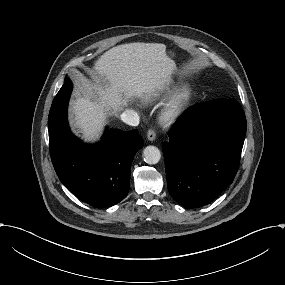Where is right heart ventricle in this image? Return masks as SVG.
Returning <instances> with one entry per match:
<instances>
[{
	"instance_id": "obj_1",
	"label": "right heart ventricle",
	"mask_w": 285,
	"mask_h": 285,
	"mask_svg": "<svg viewBox=\"0 0 285 285\" xmlns=\"http://www.w3.org/2000/svg\"><path fill=\"white\" fill-rule=\"evenodd\" d=\"M171 90L170 85H159L155 87L145 98L149 101H156L160 99L164 94Z\"/></svg>"
}]
</instances>
